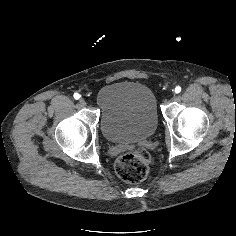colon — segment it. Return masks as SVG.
<instances>
[{"label": "colon", "mask_w": 236, "mask_h": 236, "mask_svg": "<svg viewBox=\"0 0 236 236\" xmlns=\"http://www.w3.org/2000/svg\"><path fill=\"white\" fill-rule=\"evenodd\" d=\"M150 155L144 150H137L121 156L116 162L118 176L128 183L143 181L149 172Z\"/></svg>", "instance_id": "1"}]
</instances>
